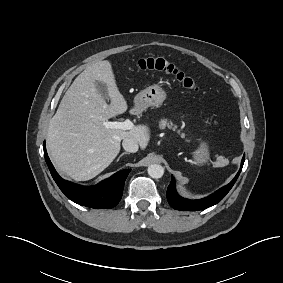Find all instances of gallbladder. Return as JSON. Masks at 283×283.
Listing matches in <instances>:
<instances>
[{
	"label": "gallbladder",
	"instance_id": "1",
	"mask_svg": "<svg viewBox=\"0 0 283 283\" xmlns=\"http://www.w3.org/2000/svg\"><path fill=\"white\" fill-rule=\"evenodd\" d=\"M96 89H97L98 93L101 94L102 97L105 100L109 101L108 88L103 82L97 81L96 82Z\"/></svg>",
	"mask_w": 283,
	"mask_h": 283
}]
</instances>
